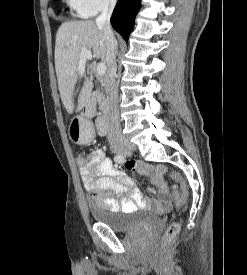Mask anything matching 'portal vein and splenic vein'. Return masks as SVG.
<instances>
[{
  "label": "portal vein and splenic vein",
  "mask_w": 247,
  "mask_h": 275,
  "mask_svg": "<svg viewBox=\"0 0 247 275\" xmlns=\"http://www.w3.org/2000/svg\"><path fill=\"white\" fill-rule=\"evenodd\" d=\"M93 59V55L91 53V51L89 50H82L80 53V65L78 67L79 71H84L85 69V63L87 60H92ZM106 72V66L103 63H100L97 65L96 67V73L99 76H103Z\"/></svg>",
  "instance_id": "18ae733b"
}]
</instances>
